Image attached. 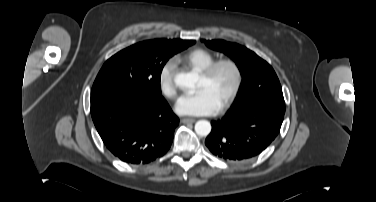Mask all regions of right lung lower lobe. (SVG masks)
I'll return each instance as SVG.
<instances>
[{
    "label": "right lung lower lobe",
    "mask_w": 376,
    "mask_h": 202,
    "mask_svg": "<svg viewBox=\"0 0 376 202\" xmlns=\"http://www.w3.org/2000/svg\"><path fill=\"white\" fill-rule=\"evenodd\" d=\"M91 115L106 147L129 164H145L163 156L179 124L162 96L135 90L91 94Z\"/></svg>",
    "instance_id": "right-lung-lower-lobe-1"
}]
</instances>
